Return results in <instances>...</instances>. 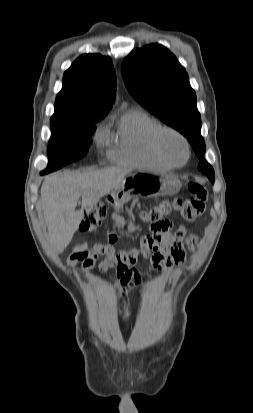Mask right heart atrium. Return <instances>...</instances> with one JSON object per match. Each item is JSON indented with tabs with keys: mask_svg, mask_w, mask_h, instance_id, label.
I'll use <instances>...</instances> for the list:
<instances>
[{
	"mask_svg": "<svg viewBox=\"0 0 253 413\" xmlns=\"http://www.w3.org/2000/svg\"><path fill=\"white\" fill-rule=\"evenodd\" d=\"M105 139H106V136H105V133H104L103 131H100V132L97 133V135H96V142H97L99 145L103 144L104 141H105Z\"/></svg>",
	"mask_w": 253,
	"mask_h": 413,
	"instance_id": "right-heart-atrium-1",
	"label": "right heart atrium"
}]
</instances>
